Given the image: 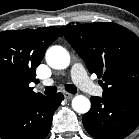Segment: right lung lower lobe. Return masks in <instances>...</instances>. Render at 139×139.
Segmentation results:
<instances>
[{
	"mask_svg": "<svg viewBox=\"0 0 139 139\" xmlns=\"http://www.w3.org/2000/svg\"><path fill=\"white\" fill-rule=\"evenodd\" d=\"M63 99L64 96L57 93L0 113V138L45 139L53 114Z\"/></svg>",
	"mask_w": 139,
	"mask_h": 139,
	"instance_id": "1",
	"label": "right lung lower lobe"
}]
</instances>
